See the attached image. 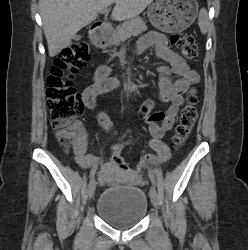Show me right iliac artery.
Segmentation results:
<instances>
[{
	"instance_id": "right-iliac-artery-1",
	"label": "right iliac artery",
	"mask_w": 248,
	"mask_h": 250,
	"mask_svg": "<svg viewBox=\"0 0 248 250\" xmlns=\"http://www.w3.org/2000/svg\"><path fill=\"white\" fill-rule=\"evenodd\" d=\"M94 176H95V171H91L89 174V178L94 179Z\"/></svg>"
}]
</instances>
